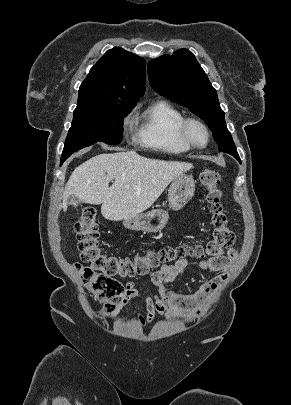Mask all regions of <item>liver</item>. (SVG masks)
Instances as JSON below:
<instances>
[{"label": "liver", "mask_w": 291, "mask_h": 405, "mask_svg": "<svg viewBox=\"0 0 291 405\" xmlns=\"http://www.w3.org/2000/svg\"><path fill=\"white\" fill-rule=\"evenodd\" d=\"M192 164L140 156L135 151L100 154L72 172L63 195V210L70 198L102 204L104 218L120 221L150 208L177 176ZM114 180L112 186L109 182Z\"/></svg>", "instance_id": "6515ba94"}]
</instances>
